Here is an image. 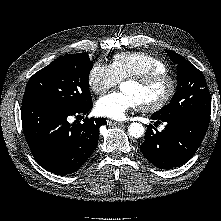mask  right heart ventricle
I'll return each instance as SVG.
<instances>
[{"label": "right heart ventricle", "mask_w": 221, "mask_h": 221, "mask_svg": "<svg viewBox=\"0 0 221 221\" xmlns=\"http://www.w3.org/2000/svg\"><path fill=\"white\" fill-rule=\"evenodd\" d=\"M111 67L119 81L149 73L167 72L166 63L145 52H124L112 58Z\"/></svg>", "instance_id": "e07e8e85"}]
</instances>
